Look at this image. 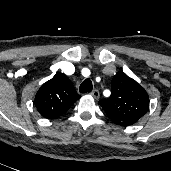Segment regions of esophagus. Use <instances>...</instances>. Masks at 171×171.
Returning <instances> with one entry per match:
<instances>
[{
    "mask_svg": "<svg viewBox=\"0 0 171 171\" xmlns=\"http://www.w3.org/2000/svg\"><path fill=\"white\" fill-rule=\"evenodd\" d=\"M95 99L99 98V91L97 89H94L91 93H90Z\"/></svg>",
    "mask_w": 171,
    "mask_h": 171,
    "instance_id": "1",
    "label": "esophagus"
}]
</instances>
